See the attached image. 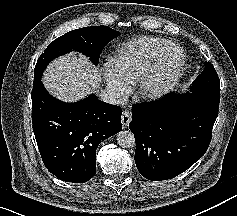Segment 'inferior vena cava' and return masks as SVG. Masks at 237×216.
<instances>
[{
	"instance_id": "602c4592",
	"label": "inferior vena cava",
	"mask_w": 237,
	"mask_h": 216,
	"mask_svg": "<svg viewBox=\"0 0 237 216\" xmlns=\"http://www.w3.org/2000/svg\"><path fill=\"white\" fill-rule=\"evenodd\" d=\"M99 99L111 105H120L124 102L123 96L119 91L113 88L106 87L101 90Z\"/></svg>"
}]
</instances>
